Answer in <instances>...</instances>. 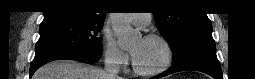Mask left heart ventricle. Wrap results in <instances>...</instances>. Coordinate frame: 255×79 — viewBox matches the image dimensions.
Returning <instances> with one entry per match:
<instances>
[{"label": "left heart ventricle", "instance_id": "obj_1", "mask_svg": "<svg viewBox=\"0 0 255 79\" xmlns=\"http://www.w3.org/2000/svg\"><path fill=\"white\" fill-rule=\"evenodd\" d=\"M132 27L137 29L135 25H132ZM131 52L137 66L144 70L159 67L165 56L164 47L160 42L145 39L138 40L133 45Z\"/></svg>", "mask_w": 255, "mask_h": 79}]
</instances>
